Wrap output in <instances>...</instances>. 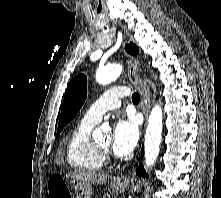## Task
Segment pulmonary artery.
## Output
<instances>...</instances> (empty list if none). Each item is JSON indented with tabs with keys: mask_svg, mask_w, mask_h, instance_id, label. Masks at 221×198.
Here are the masks:
<instances>
[{
	"mask_svg": "<svg viewBox=\"0 0 221 198\" xmlns=\"http://www.w3.org/2000/svg\"><path fill=\"white\" fill-rule=\"evenodd\" d=\"M128 95V90L125 87H114L106 91L99 97L86 112L83 120L98 123L105 112L116 109L120 106V100Z\"/></svg>",
	"mask_w": 221,
	"mask_h": 198,
	"instance_id": "e3ab8cb5",
	"label": "pulmonary artery"
}]
</instances>
